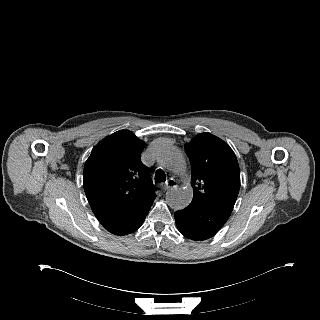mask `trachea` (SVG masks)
<instances>
[{
  "mask_svg": "<svg viewBox=\"0 0 320 320\" xmlns=\"http://www.w3.org/2000/svg\"><path fill=\"white\" fill-rule=\"evenodd\" d=\"M166 181V175L163 172V170L158 169L155 173V182L156 183H161Z\"/></svg>",
  "mask_w": 320,
  "mask_h": 320,
  "instance_id": "3493384b",
  "label": "trachea"
}]
</instances>
